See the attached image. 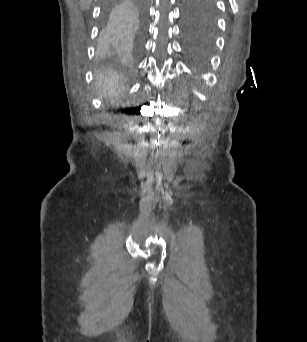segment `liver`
<instances>
[{
  "label": "liver",
  "instance_id": "liver-1",
  "mask_svg": "<svg viewBox=\"0 0 307 342\" xmlns=\"http://www.w3.org/2000/svg\"><path fill=\"white\" fill-rule=\"evenodd\" d=\"M100 98H117L123 90L120 76L116 72H101L95 84Z\"/></svg>",
  "mask_w": 307,
  "mask_h": 342
}]
</instances>
